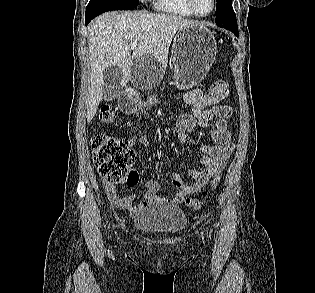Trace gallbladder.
Masks as SVG:
<instances>
[{
    "mask_svg": "<svg viewBox=\"0 0 315 293\" xmlns=\"http://www.w3.org/2000/svg\"><path fill=\"white\" fill-rule=\"evenodd\" d=\"M123 79L124 73L119 67L110 65L104 69L103 99L105 101H111L118 96Z\"/></svg>",
    "mask_w": 315,
    "mask_h": 293,
    "instance_id": "1",
    "label": "gallbladder"
}]
</instances>
